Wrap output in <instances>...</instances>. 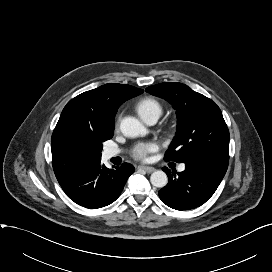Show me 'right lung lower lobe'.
Here are the masks:
<instances>
[{
	"mask_svg": "<svg viewBox=\"0 0 272 272\" xmlns=\"http://www.w3.org/2000/svg\"><path fill=\"white\" fill-rule=\"evenodd\" d=\"M100 161L74 171L59 182L66 195L83 207L101 208L114 202L134 172V167L128 163L108 169Z\"/></svg>",
	"mask_w": 272,
	"mask_h": 272,
	"instance_id": "obj_1",
	"label": "right lung lower lobe"
}]
</instances>
